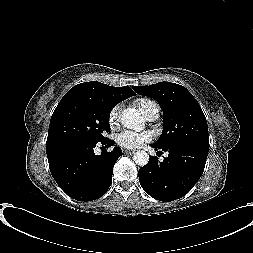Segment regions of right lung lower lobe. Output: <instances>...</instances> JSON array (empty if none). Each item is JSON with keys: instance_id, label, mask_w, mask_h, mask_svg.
I'll list each match as a JSON object with an SVG mask.
<instances>
[{"instance_id": "right-lung-lower-lobe-1", "label": "right lung lower lobe", "mask_w": 253, "mask_h": 253, "mask_svg": "<svg viewBox=\"0 0 253 253\" xmlns=\"http://www.w3.org/2000/svg\"><path fill=\"white\" fill-rule=\"evenodd\" d=\"M98 142L70 139L46 145L51 174L60 188L78 201H92L103 196L112 183L113 166L122 155L120 148L94 154ZM102 145L114 142L106 139Z\"/></svg>"}]
</instances>
